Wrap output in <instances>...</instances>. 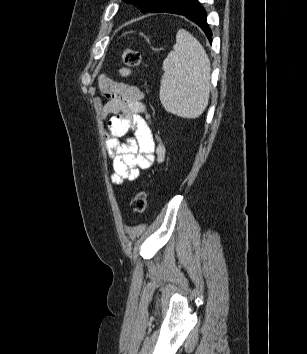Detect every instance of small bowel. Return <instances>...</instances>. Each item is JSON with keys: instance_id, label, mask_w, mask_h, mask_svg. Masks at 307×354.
<instances>
[{"instance_id": "c3829d8e", "label": "small bowel", "mask_w": 307, "mask_h": 354, "mask_svg": "<svg viewBox=\"0 0 307 354\" xmlns=\"http://www.w3.org/2000/svg\"><path fill=\"white\" fill-rule=\"evenodd\" d=\"M120 74L128 77L131 70L123 68ZM103 86L111 95L101 111L108 126L106 150L112 163V179L122 184L138 178L140 170L149 168L155 160L161 162L165 149L161 143H156L143 117L144 93L137 86L124 82L107 81ZM129 132L133 134L127 136ZM121 138L125 140L121 141Z\"/></svg>"}]
</instances>
